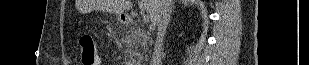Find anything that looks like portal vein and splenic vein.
<instances>
[{"instance_id":"18ae733b","label":"portal vein and splenic vein","mask_w":309,"mask_h":65,"mask_svg":"<svg viewBox=\"0 0 309 65\" xmlns=\"http://www.w3.org/2000/svg\"><path fill=\"white\" fill-rule=\"evenodd\" d=\"M142 21H143V23H148L149 22L148 15H145L144 13H142Z\"/></svg>"}]
</instances>
